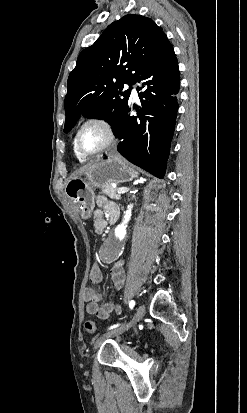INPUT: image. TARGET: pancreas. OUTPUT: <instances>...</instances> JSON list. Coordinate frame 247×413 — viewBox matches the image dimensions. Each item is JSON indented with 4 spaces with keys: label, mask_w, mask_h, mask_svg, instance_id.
Returning <instances> with one entry per match:
<instances>
[{
    "label": "pancreas",
    "mask_w": 247,
    "mask_h": 413,
    "mask_svg": "<svg viewBox=\"0 0 247 413\" xmlns=\"http://www.w3.org/2000/svg\"><path fill=\"white\" fill-rule=\"evenodd\" d=\"M116 190L117 188H114V186H111V184L102 186V192H104V194H108L110 198H121L120 194H117Z\"/></svg>",
    "instance_id": "cf45deb5"
}]
</instances>
